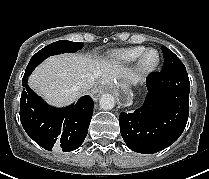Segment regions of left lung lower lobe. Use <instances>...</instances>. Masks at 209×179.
<instances>
[{
	"label": "left lung lower lobe",
	"mask_w": 209,
	"mask_h": 179,
	"mask_svg": "<svg viewBox=\"0 0 209 179\" xmlns=\"http://www.w3.org/2000/svg\"><path fill=\"white\" fill-rule=\"evenodd\" d=\"M142 107L121 113L120 131L133 151L153 154L173 144L185 129L189 115L190 82L185 69L152 73Z\"/></svg>",
	"instance_id": "left-lung-lower-lobe-1"
}]
</instances>
